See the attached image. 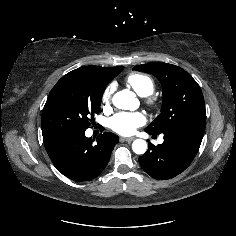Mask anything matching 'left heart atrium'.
I'll use <instances>...</instances> for the list:
<instances>
[{
	"instance_id": "39dd6f15",
	"label": "left heart atrium",
	"mask_w": 236,
	"mask_h": 236,
	"mask_svg": "<svg viewBox=\"0 0 236 236\" xmlns=\"http://www.w3.org/2000/svg\"><path fill=\"white\" fill-rule=\"evenodd\" d=\"M146 123L141 112H118L109 120L110 128L120 135H131Z\"/></svg>"
}]
</instances>
